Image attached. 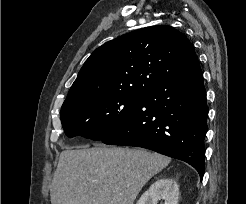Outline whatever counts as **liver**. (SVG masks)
<instances>
[{
  "mask_svg": "<svg viewBox=\"0 0 246 204\" xmlns=\"http://www.w3.org/2000/svg\"><path fill=\"white\" fill-rule=\"evenodd\" d=\"M171 158L144 149L94 147L61 152L51 204H133Z\"/></svg>",
  "mask_w": 246,
  "mask_h": 204,
  "instance_id": "liver-1",
  "label": "liver"
}]
</instances>
